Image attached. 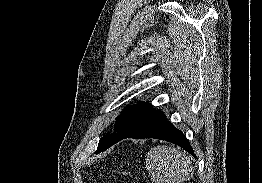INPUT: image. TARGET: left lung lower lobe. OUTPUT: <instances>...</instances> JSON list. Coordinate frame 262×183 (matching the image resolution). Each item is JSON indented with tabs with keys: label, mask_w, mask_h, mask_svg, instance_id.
Instances as JSON below:
<instances>
[{
	"label": "left lung lower lobe",
	"mask_w": 262,
	"mask_h": 183,
	"mask_svg": "<svg viewBox=\"0 0 262 183\" xmlns=\"http://www.w3.org/2000/svg\"><path fill=\"white\" fill-rule=\"evenodd\" d=\"M126 138H134V139L155 138V139L166 140L168 142L174 143L182 147L184 150L189 152L192 156L196 157L191 145L189 144V141L186 139L184 134L180 130L176 129L170 122L166 120V116L161 110H157L137 132H135L132 135H129Z\"/></svg>",
	"instance_id": "left-lung-lower-lobe-1"
}]
</instances>
